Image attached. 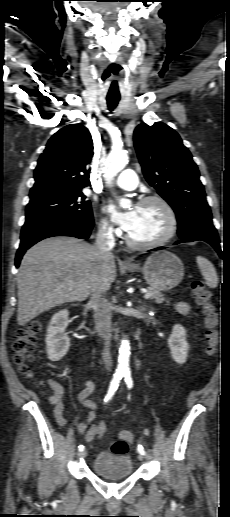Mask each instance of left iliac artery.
I'll return each instance as SVG.
<instances>
[{"mask_svg": "<svg viewBox=\"0 0 230 517\" xmlns=\"http://www.w3.org/2000/svg\"><path fill=\"white\" fill-rule=\"evenodd\" d=\"M123 376H124V381L126 382L128 388H132L133 386V380H132V377H131V372L130 370H125L123 372ZM137 450L140 454L144 455L145 454V451H144V448L142 447L141 444H138V447H137Z\"/></svg>", "mask_w": 230, "mask_h": 517, "instance_id": "1", "label": "left iliac artery"}]
</instances>
